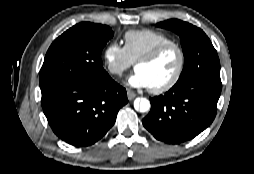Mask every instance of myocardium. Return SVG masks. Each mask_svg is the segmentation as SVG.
Returning a JSON list of instances; mask_svg holds the SVG:
<instances>
[{
    "instance_id": "1",
    "label": "myocardium",
    "mask_w": 254,
    "mask_h": 174,
    "mask_svg": "<svg viewBox=\"0 0 254 174\" xmlns=\"http://www.w3.org/2000/svg\"><path fill=\"white\" fill-rule=\"evenodd\" d=\"M169 49H175L177 51L178 56H179L178 67H177V70H176L174 76L167 83H165L159 87L150 89V91L154 94L165 93V92L171 90L179 82V80L183 74V71L185 68V63H186V57H185V52H184L183 47L176 42L165 43V44H162V45L154 48L153 50H151L149 53H147L146 55L141 57L136 62V67H137V65L142 64V63H151L154 60H156L161 54H163L165 51H167Z\"/></svg>"
}]
</instances>
